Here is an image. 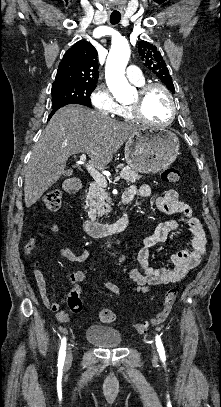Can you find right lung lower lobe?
<instances>
[{
  "label": "right lung lower lobe",
  "mask_w": 221,
  "mask_h": 407,
  "mask_svg": "<svg viewBox=\"0 0 221 407\" xmlns=\"http://www.w3.org/2000/svg\"><path fill=\"white\" fill-rule=\"evenodd\" d=\"M66 105H67V104H66ZM63 106H64V105L54 107L53 110H52V112L50 113L48 119H50V118L52 117V115H53L59 108H61V107H63Z\"/></svg>",
  "instance_id": "right-lung-lower-lobe-1"
}]
</instances>
